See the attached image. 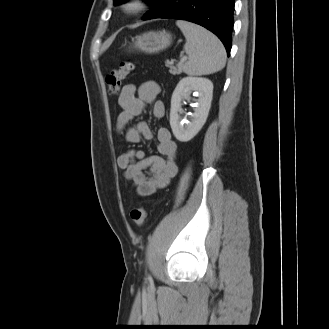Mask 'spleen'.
Returning <instances> with one entry per match:
<instances>
[{"label": "spleen", "mask_w": 329, "mask_h": 329, "mask_svg": "<svg viewBox=\"0 0 329 329\" xmlns=\"http://www.w3.org/2000/svg\"><path fill=\"white\" fill-rule=\"evenodd\" d=\"M176 25L185 36L184 51L189 61L184 65L188 75H208L222 70L226 64V51L221 41L203 27L178 20Z\"/></svg>", "instance_id": "1"}]
</instances>
